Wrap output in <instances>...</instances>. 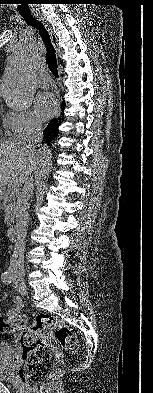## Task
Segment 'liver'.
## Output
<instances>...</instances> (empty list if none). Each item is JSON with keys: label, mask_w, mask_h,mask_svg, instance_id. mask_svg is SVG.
<instances>
[{"label": "liver", "mask_w": 153, "mask_h": 393, "mask_svg": "<svg viewBox=\"0 0 153 393\" xmlns=\"http://www.w3.org/2000/svg\"><path fill=\"white\" fill-rule=\"evenodd\" d=\"M37 167L36 155L29 153L22 142L0 144V191L15 179L24 183Z\"/></svg>", "instance_id": "obj_1"}]
</instances>
